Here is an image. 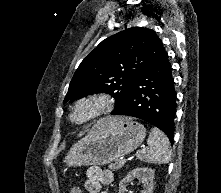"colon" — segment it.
Returning <instances> with one entry per match:
<instances>
[{
	"mask_svg": "<svg viewBox=\"0 0 221 193\" xmlns=\"http://www.w3.org/2000/svg\"><path fill=\"white\" fill-rule=\"evenodd\" d=\"M72 188H75L77 193H81V189L79 186H73ZM72 190V189H71Z\"/></svg>",
	"mask_w": 221,
	"mask_h": 193,
	"instance_id": "colon-1",
	"label": "colon"
}]
</instances>
